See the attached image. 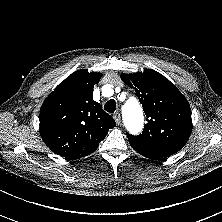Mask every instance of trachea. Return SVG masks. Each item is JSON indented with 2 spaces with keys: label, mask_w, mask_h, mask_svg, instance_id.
Segmentation results:
<instances>
[{
  "label": "trachea",
  "mask_w": 222,
  "mask_h": 222,
  "mask_svg": "<svg viewBox=\"0 0 222 222\" xmlns=\"http://www.w3.org/2000/svg\"><path fill=\"white\" fill-rule=\"evenodd\" d=\"M104 109L109 112L113 113L116 110V101L114 99H110L105 105Z\"/></svg>",
  "instance_id": "3493384b"
}]
</instances>
